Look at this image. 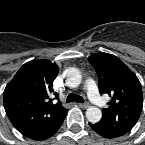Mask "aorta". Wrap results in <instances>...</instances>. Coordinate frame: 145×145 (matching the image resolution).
Wrapping results in <instances>:
<instances>
[{
  "label": "aorta",
  "instance_id": "obj_1",
  "mask_svg": "<svg viewBox=\"0 0 145 145\" xmlns=\"http://www.w3.org/2000/svg\"><path fill=\"white\" fill-rule=\"evenodd\" d=\"M64 76L66 78V85L71 88L79 86L82 80L80 71L74 67L66 69ZM101 117L102 112L97 107L92 106L86 110V118L91 123H97L100 121Z\"/></svg>",
  "mask_w": 145,
  "mask_h": 145
}]
</instances>
